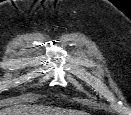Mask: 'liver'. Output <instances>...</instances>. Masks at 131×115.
<instances>
[{"label":"liver","mask_w":131,"mask_h":115,"mask_svg":"<svg viewBox=\"0 0 131 115\" xmlns=\"http://www.w3.org/2000/svg\"><path fill=\"white\" fill-rule=\"evenodd\" d=\"M63 111L46 108L43 106H26L22 104L0 110V115H59ZM70 114H75L70 112Z\"/></svg>","instance_id":"liver-1"}]
</instances>
